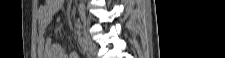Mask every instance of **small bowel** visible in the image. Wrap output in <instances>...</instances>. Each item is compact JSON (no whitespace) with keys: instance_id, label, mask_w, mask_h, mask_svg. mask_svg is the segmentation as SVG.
I'll list each match as a JSON object with an SVG mask.
<instances>
[{"instance_id":"1","label":"small bowel","mask_w":225,"mask_h":58,"mask_svg":"<svg viewBox=\"0 0 225 58\" xmlns=\"http://www.w3.org/2000/svg\"><path fill=\"white\" fill-rule=\"evenodd\" d=\"M62 6V0H47L38 9V52L41 58H77L75 52L67 54L62 45L55 43L51 38H43L44 32Z\"/></svg>"}]
</instances>
